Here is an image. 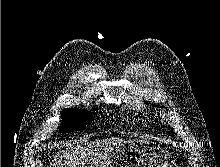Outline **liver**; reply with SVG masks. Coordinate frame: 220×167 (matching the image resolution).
I'll return each instance as SVG.
<instances>
[{
	"mask_svg": "<svg viewBox=\"0 0 220 167\" xmlns=\"http://www.w3.org/2000/svg\"><path fill=\"white\" fill-rule=\"evenodd\" d=\"M119 138L87 142L84 139L67 143L66 149L59 152L50 167H110L116 152L126 143Z\"/></svg>",
	"mask_w": 220,
	"mask_h": 167,
	"instance_id": "obj_1",
	"label": "liver"
}]
</instances>
